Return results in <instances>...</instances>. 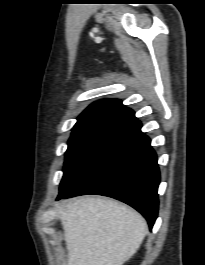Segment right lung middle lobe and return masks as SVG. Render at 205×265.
<instances>
[{
  "mask_svg": "<svg viewBox=\"0 0 205 265\" xmlns=\"http://www.w3.org/2000/svg\"><path fill=\"white\" fill-rule=\"evenodd\" d=\"M126 128L102 125L72 132L65 153L60 192L68 189Z\"/></svg>",
  "mask_w": 205,
  "mask_h": 265,
  "instance_id": "1",
  "label": "right lung middle lobe"
}]
</instances>
